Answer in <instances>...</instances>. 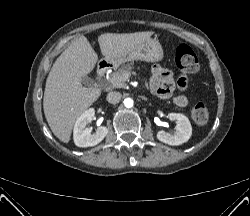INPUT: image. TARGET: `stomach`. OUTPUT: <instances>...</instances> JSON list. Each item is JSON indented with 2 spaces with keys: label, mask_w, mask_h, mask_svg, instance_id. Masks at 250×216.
<instances>
[{
  "label": "stomach",
  "mask_w": 250,
  "mask_h": 216,
  "mask_svg": "<svg viewBox=\"0 0 250 216\" xmlns=\"http://www.w3.org/2000/svg\"><path fill=\"white\" fill-rule=\"evenodd\" d=\"M163 58L164 52L159 42H157L155 39L149 38L138 46L118 54L115 58L106 62L114 67H117L122 63L134 60L159 62L162 61Z\"/></svg>",
  "instance_id": "1"
}]
</instances>
